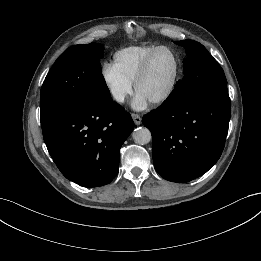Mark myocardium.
Here are the masks:
<instances>
[{"label":"myocardium","instance_id":"f54148a6","mask_svg":"<svg viewBox=\"0 0 261 261\" xmlns=\"http://www.w3.org/2000/svg\"><path fill=\"white\" fill-rule=\"evenodd\" d=\"M166 50L168 52H170L173 55L174 58V73L171 79V82L169 84V86L167 87V89L160 94L159 96L149 100V102L152 105H161L163 103H165L166 101L169 100V98L172 96V94L174 93L176 86H177V82H178V78H179V72H180V60L179 57L177 55V53L170 47L168 46H159L157 47L154 51H152L149 56L145 59L144 63L142 64L135 80H134V89L136 92H138V88L140 86V84L142 83V81L146 78L151 62L154 59V57L156 56L157 53H159L160 51Z\"/></svg>","mask_w":261,"mask_h":261}]
</instances>
